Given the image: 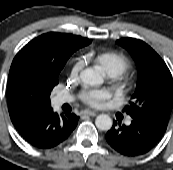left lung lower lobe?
Masks as SVG:
<instances>
[{
	"instance_id": "left-lung-lower-lobe-1",
	"label": "left lung lower lobe",
	"mask_w": 173,
	"mask_h": 170,
	"mask_svg": "<svg viewBox=\"0 0 173 170\" xmlns=\"http://www.w3.org/2000/svg\"><path fill=\"white\" fill-rule=\"evenodd\" d=\"M131 124L114 121L105 138L108 144L125 156H138L149 152L163 137L165 127L147 118L131 116Z\"/></svg>"
}]
</instances>
